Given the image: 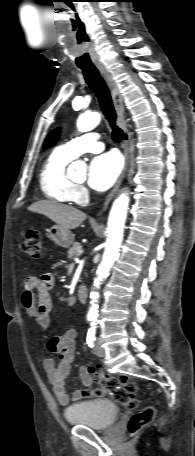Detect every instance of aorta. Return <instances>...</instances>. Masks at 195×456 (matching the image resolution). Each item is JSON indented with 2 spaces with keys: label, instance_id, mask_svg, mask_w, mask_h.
<instances>
[{
  "label": "aorta",
  "instance_id": "obj_1",
  "mask_svg": "<svg viewBox=\"0 0 195 456\" xmlns=\"http://www.w3.org/2000/svg\"><path fill=\"white\" fill-rule=\"evenodd\" d=\"M99 113L82 114L77 120V128L81 132H88L94 129L100 122ZM86 165L82 161L72 163L71 168L75 170L85 169ZM129 197L122 193L113 203L107 227V240L102 261L97 269L94 286L98 288L102 281L106 279L110 268L119 256V249L123 240L124 225L127 216ZM98 299L99 293L93 291L90 293V308L88 318L95 319L98 316Z\"/></svg>",
  "mask_w": 195,
  "mask_h": 456
}]
</instances>
